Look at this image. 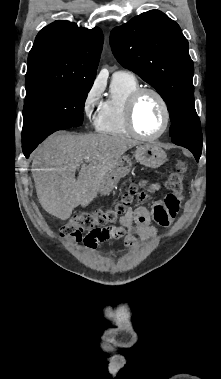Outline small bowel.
<instances>
[{
	"label": "small bowel",
	"instance_id": "c3829d8e",
	"mask_svg": "<svg viewBox=\"0 0 221 379\" xmlns=\"http://www.w3.org/2000/svg\"><path fill=\"white\" fill-rule=\"evenodd\" d=\"M139 186L141 188L149 186L150 190L157 189L156 185L149 184L145 180L141 181ZM181 195V190H165L164 200H159L151 208V212L144 206H139L134 210L129 208L120 218L118 226H110L100 232L90 234L84 241L86 247L92 249L104 240L124 238L129 248H136L138 240L148 241L157 235V229L151 222L152 218L161 226H169L172 223L179 209ZM145 197L144 192L139 194L141 200Z\"/></svg>",
	"mask_w": 221,
	"mask_h": 379
}]
</instances>
